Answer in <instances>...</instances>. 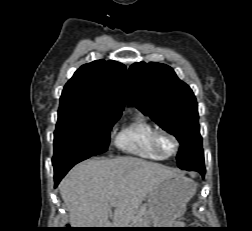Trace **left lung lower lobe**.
Wrapping results in <instances>:
<instances>
[{
    "label": "left lung lower lobe",
    "instance_id": "1",
    "mask_svg": "<svg viewBox=\"0 0 252 231\" xmlns=\"http://www.w3.org/2000/svg\"><path fill=\"white\" fill-rule=\"evenodd\" d=\"M185 170H195V171H198L202 177H204L205 175V166H194V167H188L186 168Z\"/></svg>",
    "mask_w": 252,
    "mask_h": 231
}]
</instances>
